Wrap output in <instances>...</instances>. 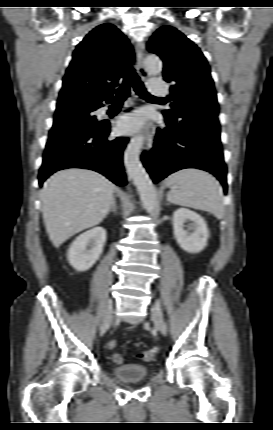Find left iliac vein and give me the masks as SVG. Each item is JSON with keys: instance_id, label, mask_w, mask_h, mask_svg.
<instances>
[{"instance_id": "4c4485c4", "label": "left iliac vein", "mask_w": 273, "mask_h": 430, "mask_svg": "<svg viewBox=\"0 0 273 430\" xmlns=\"http://www.w3.org/2000/svg\"><path fill=\"white\" fill-rule=\"evenodd\" d=\"M152 321L154 326L164 335L167 334V325L162 318V312L158 302L152 307Z\"/></svg>"}]
</instances>
